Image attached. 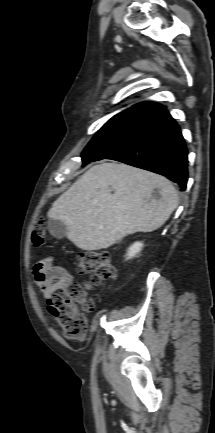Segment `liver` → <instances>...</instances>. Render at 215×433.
Returning a JSON list of instances; mask_svg holds the SVG:
<instances>
[{
    "mask_svg": "<svg viewBox=\"0 0 215 433\" xmlns=\"http://www.w3.org/2000/svg\"><path fill=\"white\" fill-rule=\"evenodd\" d=\"M177 204V192L167 178L104 162L86 171L52 204L47 216L65 224L67 238L78 248L93 251L129 234L160 228Z\"/></svg>",
    "mask_w": 215,
    "mask_h": 433,
    "instance_id": "1",
    "label": "liver"
}]
</instances>
